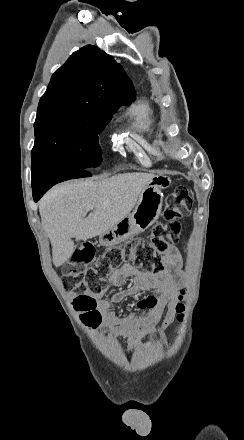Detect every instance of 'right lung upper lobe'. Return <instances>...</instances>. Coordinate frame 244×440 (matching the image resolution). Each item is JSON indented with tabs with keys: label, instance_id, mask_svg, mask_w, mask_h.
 Segmentation results:
<instances>
[{
	"label": "right lung upper lobe",
	"instance_id": "1",
	"mask_svg": "<svg viewBox=\"0 0 244 440\" xmlns=\"http://www.w3.org/2000/svg\"><path fill=\"white\" fill-rule=\"evenodd\" d=\"M134 98V88L121 65L98 47L87 45L53 74L40 103H83L113 112Z\"/></svg>",
	"mask_w": 244,
	"mask_h": 440
}]
</instances>
